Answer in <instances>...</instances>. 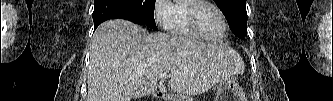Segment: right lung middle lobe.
<instances>
[{
  "instance_id": "dd1d6c3e",
  "label": "right lung middle lobe",
  "mask_w": 333,
  "mask_h": 101,
  "mask_svg": "<svg viewBox=\"0 0 333 101\" xmlns=\"http://www.w3.org/2000/svg\"><path fill=\"white\" fill-rule=\"evenodd\" d=\"M129 5L132 6L136 12L140 24L147 25L154 30H157L154 20V6L155 0H125ZM97 0H95V3Z\"/></svg>"
}]
</instances>
